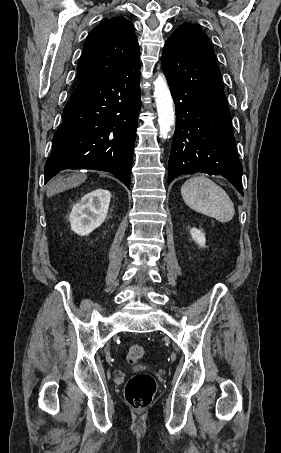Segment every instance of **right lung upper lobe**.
Returning a JSON list of instances; mask_svg holds the SVG:
<instances>
[{
	"mask_svg": "<svg viewBox=\"0 0 281 453\" xmlns=\"http://www.w3.org/2000/svg\"><path fill=\"white\" fill-rule=\"evenodd\" d=\"M140 56L133 24L123 17L99 23L88 35L77 65V80L88 83L113 77Z\"/></svg>",
	"mask_w": 281,
	"mask_h": 453,
	"instance_id": "obj_1",
	"label": "right lung upper lobe"
}]
</instances>
